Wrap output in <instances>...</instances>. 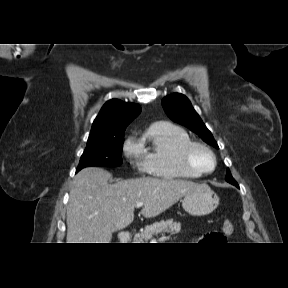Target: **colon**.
Returning a JSON list of instances; mask_svg holds the SVG:
<instances>
[{
    "label": "colon",
    "mask_w": 288,
    "mask_h": 288,
    "mask_svg": "<svg viewBox=\"0 0 288 288\" xmlns=\"http://www.w3.org/2000/svg\"><path fill=\"white\" fill-rule=\"evenodd\" d=\"M234 231V226L231 222L226 221L222 226V231L219 233H212L210 238L212 239L211 242H223L225 238L231 235Z\"/></svg>",
    "instance_id": "colon-1"
}]
</instances>
